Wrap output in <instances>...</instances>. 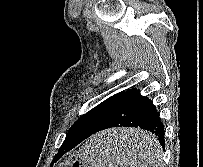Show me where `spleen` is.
Returning a JSON list of instances; mask_svg holds the SVG:
<instances>
[{"instance_id":"spleen-1","label":"spleen","mask_w":203,"mask_h":167,"mask_svg":"<svg viewBox=\"0 0 203 167\" xmlns=\"http://www.w3.org/2000/svg\"><path fill=\"white\" fill-rule=\"evenodd\" d=\"M144 149L139 152V167H162L161 146L157 139L144 133L138 140ZM113 139L109 135H95L81 149V156L86 163L94 167H126V162L119 160L114 153Z\"/></svg>"}]
</instances>
